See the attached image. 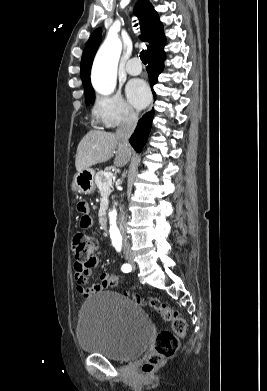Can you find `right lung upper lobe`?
Segmentation results:
<instances>
[{"label": "right lung upper lobe", "instance_id": "1", "mask_svg": "<svg viewBox=\"0 0 267 391\" xmlns=\"http://www.w3.org/2000/svg\"><path fill=\"white\" fill-rule=\"evenodd\" d=\"M141 26V40L149 42L147 48L148 57L156 53L165 46L166 38L163 25L159 20L157 12L148 0H139L134 10ZM102 29H96L90 36L82 54L80 74L85 89V93L93 91L90 82V71L92 62L101 42Z\"/></svg>", "mask_w": 267, "mask_h": 391}]
</instances>
